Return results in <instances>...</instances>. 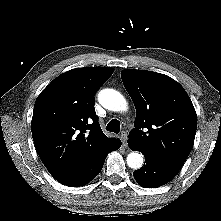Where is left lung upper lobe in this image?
I'll return each instance as SVG.
<instances>
[{
	"instance_id": "1",
	"label": "left lung upper lobe",
	"mask_w": 221,
	"mask_h": 221,
	"mask_svg": "<svg viewBox=\"0 0 221 221\" xmlns=\"http://www.w3.org/2000/svg\"><path fill=\"white\" fill-rule=\"evenodd\" d=\"M121 78L136 108L128 143L180 169L197 129L196 112L184 88L166 75L146 70H123Z\"/></svg>"
}]
</instances>
